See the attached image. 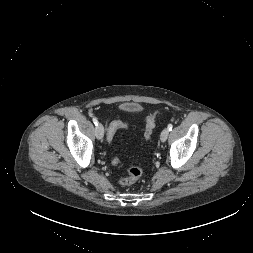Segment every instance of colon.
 <instances>
[{"label":"colon","instance_id":"1","mask_svg":"<svg viewBox=\"0 0 253 253\" xmlns=\"http://www.w3.org/2000/svg\"><path fill=\"white\" fill-rule=\"evenodd\" d=\"M158 113H159V111H154L146 119V126H145V132H144V137H145L146 141H149L150 138H151V135L153 133V129L155 127V119H156V116H157ZM126 127H127V125L122 121L113 122L109 126L108 131H107L108 141H111L113 139V137H114L115 133L117 132V130L123 129V128H126ZM113 164L118 165L119 164L118 160L114 159ZM126 172H127V176L122 178L119 181V183L122 186H130V185L135 184L142 175V170L139 167H136V166L128 167L126 169Z\"/></svg>","mask_w":253,"mask_h":253}]
</instances>
